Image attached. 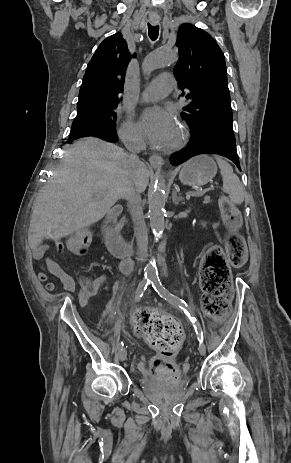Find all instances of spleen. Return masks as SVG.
Listing matches in <instances>:
<instances>
[{
  "label": "spleen",
  "mask_w": 291,
  "mask_h": 463,
  "mask_svg": "<svg viewBox=\"0 0 291 463\" xmlns=\"http://www.w3.org/2000/svg\"><path fill=\"white\" fill-rule=\"evenodd\" d=\"M223 180V189L228 193L230 201L234 204H242L244 201L245 189L239 177L233 172V168L225 160L215 157Z\"/></svg>",
  "instance_id": "obj_1"
}]
</instances>
